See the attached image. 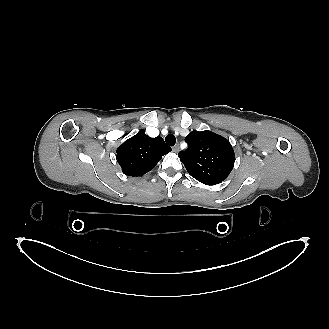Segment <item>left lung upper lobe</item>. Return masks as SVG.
<instances>
[{
  "label": "left lung upper lobe",
  "mask_w": 329,
  "mask_h": 329,
  "mask_svg": "<svg viewBox=\"0 0 329 329\" xmlns=\"http://www.w3.org/2000/svg\"><path fill=\"white\" fill-rule=\"evenodd\" d=\"M188 148L178 154L188 173L206 185H216L233 169L235 154L230 142L211 131H192Z\"/></svg>",
  "instance_id": "1"
}]
</instances>
